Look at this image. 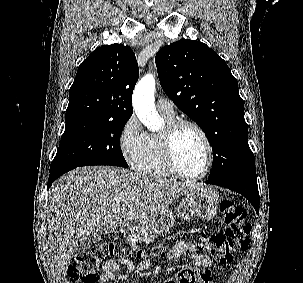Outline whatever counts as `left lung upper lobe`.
<instances>
[{
	"instance_id": "left-lung-upper-lobe-1",
	"label": "left lung upper lobe",
	"mask_w": 303,
	"mask_h": 283,
	"mask_svg": "<svg viewBox=\"0 0 303 283\" xmlns=\"http://www.w3.org/2000/svg\"><path fill=\"white\" fill-rule=\"evenodd\" d=\"M155 61L166 95L200 126L212 146L209 179L256 172L243 100L226 62L206 44L190 39L163 47Z\"/></svg>"
}]
</instances>
